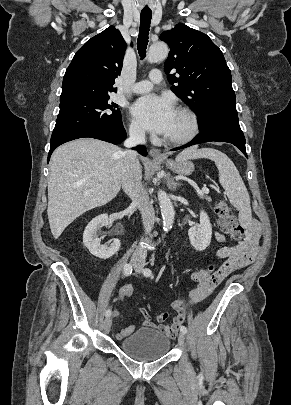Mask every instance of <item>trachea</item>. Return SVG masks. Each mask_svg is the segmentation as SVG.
<instances>
[{
  "instance_id": "obj_1",
  "label": "trachea",
  "mask_w": 291,
  "mask_h": 405,
  "mask_svg": "<svg viewBox=\"0 0 291 405\" xmlns=\"http://www.w3.org/2000/svg\"><path fill=\"white\" fill-rule=\"evenodd\" d=\"M151 18H152V12L151 11H141V17H140V33L138 37V52L141 58H144L146 55V48L148 44V34H149V28H150V23H151Z\"/></svg>"
}]
</instances>
